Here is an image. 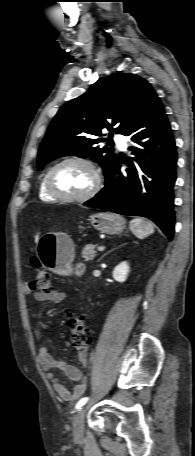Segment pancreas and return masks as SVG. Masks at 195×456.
<instances>
[{
	"label": "pancreas",
	"instance_id": "1",
	"mask_svg": "<svg viewBox=\"0 0 195 456\" xmlns=\"http://www.w3.org/2000/svg\"><path fill=\"white\" fill-rule=\"evenodd\" d=\"M94 249V245H86L81 252L82 258H84L85 261L93 260L96 256V251Z\"/></svg>",
	"mask_w": 195,
	"mask_h": 456
}]
</instances>
